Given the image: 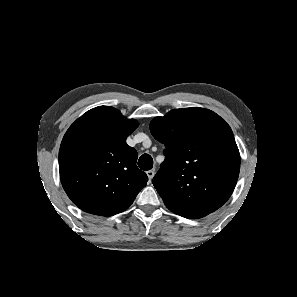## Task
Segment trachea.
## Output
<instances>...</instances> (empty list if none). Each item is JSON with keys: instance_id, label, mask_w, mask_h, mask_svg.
Segmentation results:
<instances>
[{"instance_id": "obj_1", "label": "trachea", "mask_w": 297, "mask_h": 297, "mask_svg": "<svg viewBox=\"0 0 297 297\" xmlns=\"http://www.w3.org/2000/svg\"><path fill=\"white\" fill-rule=\"evenodd\" d=\"M138 166L144 170H150L153 167V159L149 154H143L138 160Z\"/></svg>"}]
</instances>
